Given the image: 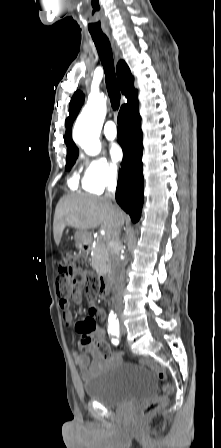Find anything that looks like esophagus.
<instances>
[{
    "mask_svg": "<svg viewBox=\"0 0 221 448\" xmlns=\"http://www.w3.org/2000/svg\"><path fill=\"white\" fill-rule=\"evenodd\" d=\"M108 37H109V40H110L111 45H112V47H113V51H114L115 57H116V59L118 60V57H119V50H118V47H117V45H116V42H115V40H114V38H113L112 36L109 35Z\"/></svg>",
    "mask_w": 221,
    "mask_h": 448,
    "instance_id": "1",
    "label": "esophagus"
}]
</instances>
